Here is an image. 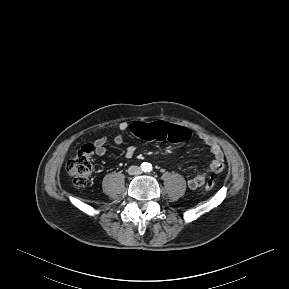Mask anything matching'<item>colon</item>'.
<instances>
[{
    "label": "colon",
    "mask_w": 289,
    "mask_h": 289,
    "mask_svg": "<svg viewBox=\"0 0 289 289\" xmlns=\"http://www.w3.org/2000/svg\"><path fill=\"white\" fill-rule=\"evenodd\" d=\"M130 132L137 137L147 139L168 140L170 142H182L188 139L189 131L180 126L171 125L166 120L151 119L148 122L139 120L130 127ZM94 146L92 144L83 145L77 154L67 162V173L73 184L82 188L87 185L92 171V154ZM215 186L213 180H208L205 184L206 190H212Z\"/></svg>",
    "instance_id": "5ec220e1"
}]
</instances>
